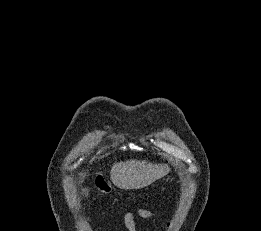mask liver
<instances>
[{"mask_svg":"<svg viewBox=\"0 0 261 231\" xmlns=\"http://www.w3.org/2000/svg\"><path fill=\"white\" fill-rule=\"evenodd\" d=\"M168 165L152 164L147 161L127 160L117 162L110 172L111 181L121 189H140L166 176Z\"/></svg>","mask_w":261,"mask_h":231,"instance_id":"obj_1","label":"liver"}]
</instances>
